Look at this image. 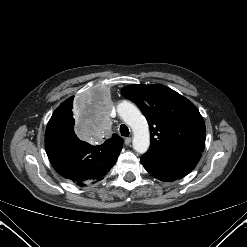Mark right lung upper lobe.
Instances as JSON below:
<instances>
[{
  "label": "right lung upper lobe",
  "mask_w": 247,
  "mask_h": 247,
  "mask_svg": "<svg viewBox=\"0 0 247 247\" xmlns=\"http://www.w3.org/2000/svg\"><path fill=\"white\" fill-rule=\"evenodd\" d=\"M73 99H74V96L68 98L65 102H63L56 110L55 112L53 113L49 123L50 124H54L53 123V120H54V117H55V114L58 113L59 111H61L62 109H65L67 107H70L72 104H73ZM104 144L106 145H111V146H122L123 145V139L120 138L119 136L117 135H113V137L111 139H108L104 142Z\"/></svg>",
  "instance_id": "cb5924a9"
}]
</instances>
